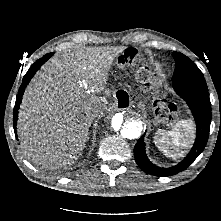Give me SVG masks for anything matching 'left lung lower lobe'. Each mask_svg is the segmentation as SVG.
I'll use <instances>...</instances> for the list:
<instances>
[{
    "mask_svg": "<svg viewBox=\"0 0 221 221\" xmlns=\"http://www.w3.org/2000/svg\"><path fill=\"white\" fill-rule=\"evenodd\" d=\"M172 85L175 92L187 102L192 111L197 127L196 139L191 151L183 161L170 168H160L147 158L144 136H142L134 147V157L137 165L144 172L154 176H172L188 168L204 150L209 136L211 103L205 78L192 77L173 80Z\"/></svg>",
    "mask_w": 221,
    "mask_h": 221,
    "instance_id": "left-lung-lower-lobe-1",
    "label": "left lung lower lobe"
}]
</instances>
